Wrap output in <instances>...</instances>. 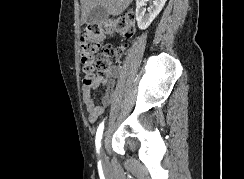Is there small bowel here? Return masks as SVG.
<instances>
[{"instance_id":"c3829d8e","label":"small bowel","mask_w":244,"mask_h":179,"mask_svg":"<svg viewBox=\"0 0 244 179\" xmlns=\"http://www.w3.org/2000/svg\"><path fill=\"white\" fill-rule=\"evenodd\" d=\"M119 74V70L116 67L111 68L108 71V80L106 81L107 86L104 95L99 103H96L94 99V89L93 87L84 88L82 91L83 103L89 114V121L95 122L105 111L106 107L114 99V78ZM98 85V84H97Z\"/></svg>"}]
</instances>
